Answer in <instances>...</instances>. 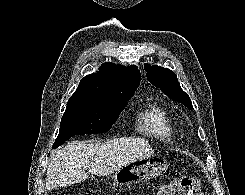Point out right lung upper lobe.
<instances>
[{"instance_id":"1","label":"right lung upper lobe","mask_w":245,"mask_h":195,"mask_svg":"<svg viewBox=\"0 0 245 195\" xmlns=\"http://www.w3.org/2000/svg\"><path fill=\"white\" fill-rule=\"evenodd\" d=\"M140 84L136 66L123 67L113 63L102 64L97 73L84 77L72 96H87L111 101L129 100Z\"/></svg>"}]
</instances>
